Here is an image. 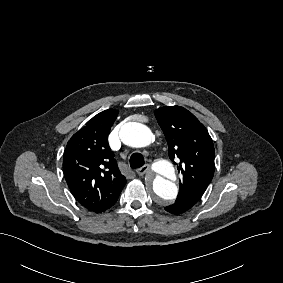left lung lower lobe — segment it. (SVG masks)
<instances>
[{"mask_svg": "<svg viewBox=\"0 0 283 283\" xmlns=\"http://www.w3.org/2000/svg\"><path fill=\"white\" fill-rule=\"evenodd\" d=\"M198 201L192 198L183 197L176 200L172 205L165 207V210L172 214H181L192 206H194Z\"/></svg>", "mask_w": 283, "mask_h": 283, "instance_id": "1", "label": "left lung lower lobe"}]
</instances>
